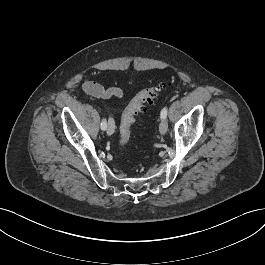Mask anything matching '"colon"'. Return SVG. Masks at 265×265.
<instances>
[{
	"mask_svg": "<svg viewBox=\"0 0 265 265\" xmlns=\"http://www.w3.org/2000/svg\"><path fill=\"white\" fill-rule=\"evenodd\" d=\"M166 88V84H158L149 88H146L139 92L129 103L125 109L119 128V144L125 146L131 136V128L135 122L137 114L145 112L146 104H152L157 99L161 91Z\"/></svg>",
	"mask_w": 265,
	"mask_h": 265,
	"instance_id": "5ec220e1",
	"label": "colon"
}]
</instances>
